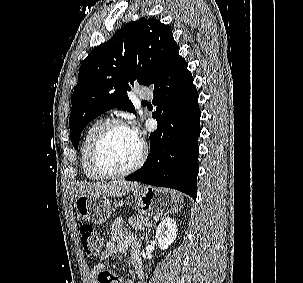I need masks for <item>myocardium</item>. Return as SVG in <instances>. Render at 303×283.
<instances>
[{"label":"myocardium","mask_w":303,"mask_h":283,"mask_svg":"<svg viewBox=\"0 0 303 283\" xmlns=\"http://www.w3.org/2000/svg\"><path fill=\"white\" fill-rule=\"evenodd\" d=\"M117 126L129 128L127 123H125L123 120L120 119L107 120L102 124V126L97 131L90 147L91 165L95 170V172L103 178L114 179V178H121L127 176L138 170L142 166L146 158V154H147L146 147L143 144V142L140 141V151L136 160L132 165L120 171H112L106 168L101 158L102 144L109 130Z\"/></svg>","instance_id":"obj_1"}]
</instances>
